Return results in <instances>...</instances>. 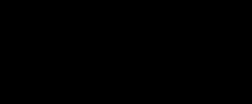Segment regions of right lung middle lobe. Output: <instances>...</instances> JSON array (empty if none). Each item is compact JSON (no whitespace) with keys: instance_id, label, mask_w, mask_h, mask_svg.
Instances as JSON below:
<instances>
[{"instance_id":"dd1d6c3e","label":"right lung middle lobe","mask_w":252,"mask_h":104,"mask_svg":"<svg viewBox=\"0 0 252 104\" xmlns=\"http://www.w3.org/2000/svg\"><path fill=\"white\" fill-rule=\"evenodd\" d=\"M115 21L81 18L52 33L45 40L36 63L56 56H77L98 65L102 64L103 40Z\"/></svg>"}]
</instances>
